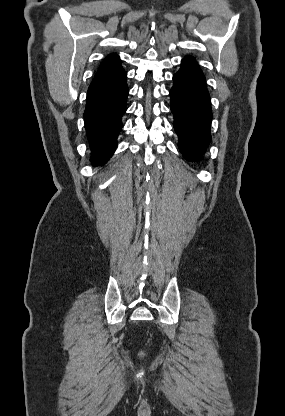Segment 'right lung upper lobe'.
Masks as SVG:
<instances>
[{
    "label": "right lung upper lobe",
    "instance_id": "obj_1",
    "mask_svg": "<svg viewBox=\"0 0 285 416\" xmlns=\"http://www.w3.org/2000/svg\"><path fill=\"white\" fill-rule=\"evenodd\" d=\"M124 72L125 71L120 64V59L118 55L110 54L107 58L104 59L103 63L100 65L89 88H93L110 82L115 78L119 77Z\"/></svg>",
    "mask_w": 285,
    "mask_h": 416
}]
</instances>
